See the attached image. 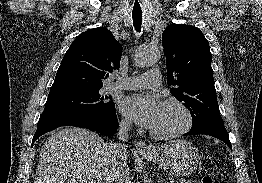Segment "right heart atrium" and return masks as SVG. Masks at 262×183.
Listing matches in <instances>:
<instances>
[{
    "mask_svg": "<svg viewBox=\"0 0 262 183\" xmlns=\"http://www.w3.org/2000/svg\"><path fill=\"white\" fill-rule=\"evenodd\" d=\"M120 125H121V127H122L123 129H129V128L131 127V122H130L129 119L124 118V119L121 120Z\"/></svg>",
    "mask_w": 262,
    "mask_h": 183,
    "instance_id": "obj_1",
    "label": "right heart atrium"
}]
</instances>
